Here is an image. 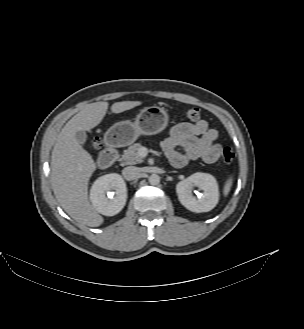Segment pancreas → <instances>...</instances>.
Wrapping results in <instances>:
<instances>
[{"label": "pancreas", "mask_w": 304, "mask_h": 329, "mask_svg": "<svg viewBox=\"0 0 304 329\" xmlns=\"http://www.w3.org/2000/svg\"><path fill=\"white\" fill-rule=\"evenodd\" d=\"M143 146L140 143H135L124 150L121 160L124 164H138L142 162V158L139 156L138 152Z\"/></svg>", "instance_id": "1"}]
</instances>
